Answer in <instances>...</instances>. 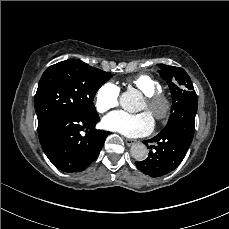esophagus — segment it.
<instances>
[{
  "instance_id": "1",
  "label": "esophagus",
  "mask_w": 229,
  "mask_h": 229,
  "mask_svg": "<svg viewBox=\"0 0 229 229\" xmlns=\"http://www.w3.org/2000/svg\"><path fill=\"white\" fill-rule=\"evenodd\" d=\"M136 142H137V140H135V139H125V144L129 147L136 144Z\"/></svg>"
}]
</instances>
